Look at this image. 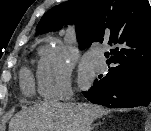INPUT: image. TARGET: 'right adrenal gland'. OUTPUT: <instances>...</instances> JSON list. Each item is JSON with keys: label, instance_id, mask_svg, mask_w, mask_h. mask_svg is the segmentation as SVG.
I'll list each match as a JSON object with an SVG mask.
<instances>
[{"label": "right adrenal gland", "instance_id": "right-adrenal-gland-1", "mask_svg": "<svg viewBox=\"0 0 151 131\" xmlns=\"http://www.w3.org/2000/svg\"><path fill=\"white\" fill-rule=\"evenodd\" d=\"M98 124H101V122H99ZM98 124H95V125L92 127V129H91V130H93V129H94V127H95L96 125H98Z\"/></svg>", "mask_w": 151, "mask_h": 131}]
</instances>
